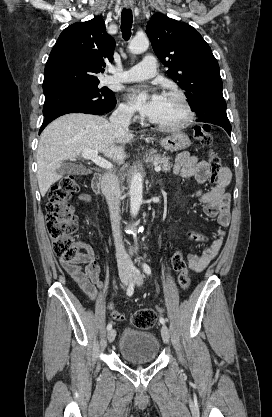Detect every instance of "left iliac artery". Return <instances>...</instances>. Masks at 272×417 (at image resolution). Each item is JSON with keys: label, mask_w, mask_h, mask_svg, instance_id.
Listing matches in <instances>:
<instances>
[{"label": "left iliac artery", "mask_w": 272, "mask_h": 417, "mask_svg": "<svg viewBox=\"0 0 272 417\" xmlns=\"http://www.w3.org/2000/svg\"><path fill=\"white\" fill-rule=\"evenodd\" d=\"M143 270H144V272L147 274V275H150L151 274V268L149 267V265H147L146 263H144L143 264ZM159 321H160V323H162V324H165V322H166V320L163 318V317H161L160 319H159Z\"/></svg>", "instance_id": "obj_1"}]
</instances>
